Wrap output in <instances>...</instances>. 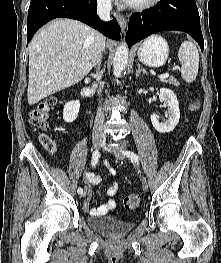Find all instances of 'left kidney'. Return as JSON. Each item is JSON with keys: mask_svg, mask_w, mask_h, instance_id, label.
Masks as SVG:
<instances>
[{"mask_svg": "<svg viewBox=\"0 0 221 263\" xmlns=\"http://www.w3.org/2000/svg\"><path fill=\"white\" fill-rule=\"evenodd\" d=\"M160 101L164 102L168 106V119L166 121L158 120L155 114L151 115V122L154 128L160 133H167L176 127L180 119L179 102L175 93L166 88L160 89L159 94Z\"/></svg>", "mask_w": 221, "mask_h": 263, "instance_id": "left-kidney-1", "label": "left kidney"}]
</instances>
